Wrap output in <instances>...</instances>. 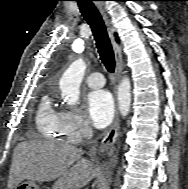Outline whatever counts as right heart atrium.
I'll return each mask as SVG.
<instances>
[{
    "label": "right heart atrium",
    "mask_w": 188,
    "mask_h": 189,
    "mask_svg": "<svg viewBox=\"0 0 188 189\" xmlns=\"http://www.w3.org/2000/svg\"><path fill=\"white\" fill-rule=\"evenodd\" d=\"M62 120L65 134L71 142L90 132L88 122L77 110H66L62 112Z\"/></svg>",
    "instance_id": "d8ad5b80"
}]
</instances>
